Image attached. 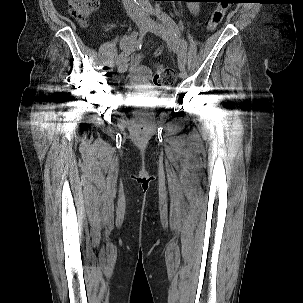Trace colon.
Segmentation results:
<instances>
[{
    "label": "colon",
    "instance_id": "5ec220e1",
    "mask_svg": "<svg viewBox=\"0 0 303 303\" xmlns=\"http://www.w3.org/2000/svg\"><path fill=\"white\" fill-rule=\"evenodd\" d=\"M99 0H68L71 13L82 23L96 10ZM228 9L227 0H218L217 6L213 10L207 22V29L213 31L222 21ZM154 84L161 88L171 86L175 82V74L172 69L159 66L153 76Z\"/></svg>",
    "mask_w": 303,
    "mask_h": 303
}]
</instances>
